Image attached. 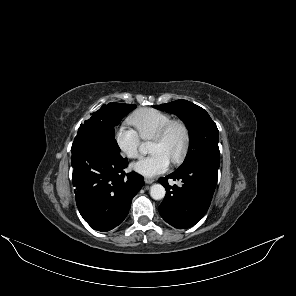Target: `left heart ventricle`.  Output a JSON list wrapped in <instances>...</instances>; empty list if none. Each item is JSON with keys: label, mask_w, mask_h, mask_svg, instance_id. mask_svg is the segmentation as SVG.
Here are the masks:
<instances>
[{"label": "left heart ventricle", "mask_w": 296, "mask_h": 296, "mask_svg": "<svg viewBox=\"0 0 296 296\" xmlns=\"http://www.w3.org/2000/svg\"><path fill=\"white\" fill-rule=\"evenodd\" d=\"M184 140V134L179 126L174 127L164 141H153L151 152H162L172 161L180 152Z\"/></svg>", "instance_id": "obj_1"}]
</instances>
